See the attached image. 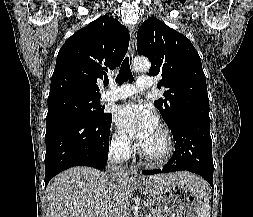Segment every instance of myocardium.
Returning a JSON list of instances; mask_svg holds the SVG:
<instances>
[{"label": "myocardium", "instance_id": "1", "mask_svg": "<svg viewBox=\"0 0 253 217\" xmlns=\"http://www.w3.org/2000/svg\"><path fill=\"white\" fill-rule=\"evenodd\" d=\"M158 129L165 140V150L162 154L153 156L146 153L140 146H138V152L141 158L150 164H162L167 162L172 157L175 149L174 138L170 129L163 125H160Z\"/></svg>", "mask_w": 253, "mask_h": 217}]
</instances>
